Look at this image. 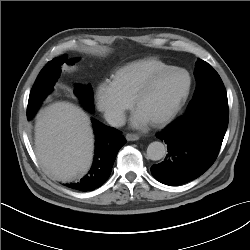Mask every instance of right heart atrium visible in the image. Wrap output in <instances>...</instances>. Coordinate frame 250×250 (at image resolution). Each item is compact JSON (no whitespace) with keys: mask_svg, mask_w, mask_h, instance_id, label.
<instances>
[{"mask_svg":"<svg viewBox=\"0 0 250 250\" xmlns=\"http://www.w3.org/2000/svg\"><path fill=\"white\" fill-rule=\"evenodd\" d=\"M97 108L109 123L121 125L127 111L132 107L133 100L118 91L109 80L100 82L95 90Z\"/></svg>","mask_w":250,"mask_h":250,"instance_id":"obj_1","label":"right heart atrium"}]
</instances>
